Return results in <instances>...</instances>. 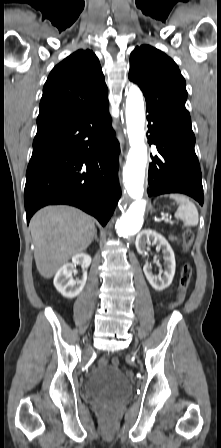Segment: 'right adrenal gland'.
Listing matches in <instances>:
<instances>
[{"mask_svg":"<svg viewBox=\"0 0 221 448\" xmlns=\"http://www.w3.org/2000/svg\"><path fill=\"white\" fill-rule=\"evenodd\" d=\"M94 240H95L96 242H98L97 231L95 232Z\"/></svg>","mask_w":221,"mask_h":448,"instance_id":"right-adrenal-gland-1","label":"right adrenal gland"}]
</instances>
